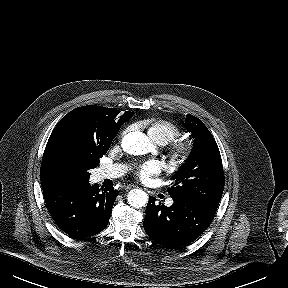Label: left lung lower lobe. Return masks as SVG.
Returning a JSON list of instances; mask_svg holds the SVG:
<instances>
[{
	"label": "left lung lower lobe",
	"mask_w": 288,
	"mask_h": 288,
	"mask_svg": "<svg viewBox=\"0 0 288 288\" xmlns=\"http://www.w3.org/2000/svg\"><path fill=\"white\" fill-rule=\"evenodd\" d=\"M155 201L154 197H149L144 230L168 249H181L193 242L209 227L216 213L191 201L174 200L171 207L157 205Z\"/></svg>",
	"instance_id": "left-lung-lower-lobe-1"
}]
</instances>
